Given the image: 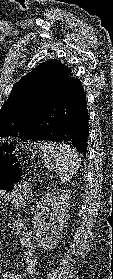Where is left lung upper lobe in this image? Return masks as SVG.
<instances>
[{"label":"left lung upper lobe","instance_id":"left-lung-upper-lobe-1","mask_svg":"<svg viewBox=\"0 0 113 279\" xmlns=\"http://www.w3.org/2000/svg\"><path fill=\"white\" fill-rule=\"evenodd\" d=\"M67 67L57 59L39 64L15 83L0 110V136L18 137L31 119L34 108L49 94Z\"/></svg>","mask_w":113,"mask_h":279}]
</instances>
